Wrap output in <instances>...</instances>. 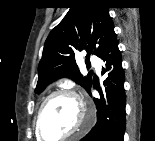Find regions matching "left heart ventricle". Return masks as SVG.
Wrapping results in <instances>:
<instances>
[{
    "instance_id": "b2bd125f",
    "label": "left heart ventricle",
    "mask_w": 155,
    "mask_h": 141,
    "mask_svg": "<svg viewBox=\"0 0 155 141\" xmlns=\"http://www.w3.org/2000/svg\"><path fill=\"white\" fill-rule=\"evenodd\" d=\"M81 119L79 105L68 96L58 95L45 105L41 116V129L46 139L54 140L73 131Z\"/></svg>"
}]
</instances>
